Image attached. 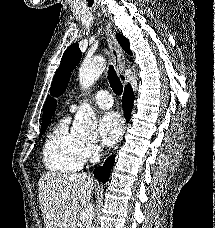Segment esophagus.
Returning a JSON list of instances; mask_svg holds the SVG:
<instances>
[{
	"instance_id": "1",
	"label": "esophagus",
	"mask_w": 215,
	"mask_h": 228,
	"mask_svg": "<svg viewBox=\"0 0 215 228\" xmlns=\"http://www.w3.org/2000/svg\"><path fill=\"white\" fill-rule=\"evenodd\" d=\"M105 30H106V35L108 38V44H109V49L111 56L113 58L114 62V67L117 72V75L119 76L121 82L123 85L128 84V78L124 73V57H123V52L119 46V43L117 42L114 34V30L112 28L111 23L106 22L105 24Z\"/></svg>"
}]
</instances>
